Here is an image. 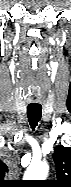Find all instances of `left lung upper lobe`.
<instances>
[{"instance_id": "5c2ea615", "label": "left lung upper lobe", "mask_w": 71, "mask_h": 187, "mask_svg": "<svg viewBox=\"0 0 71 187\" xmlns=\"http://www.w3.org/2000/svg\"><path fill=\"white\" fill-rule=\"evenodd\" d=\"M57 180L53 186L71 187V147L56 146L53 154Z\"/></svg>"}]
</instances>
